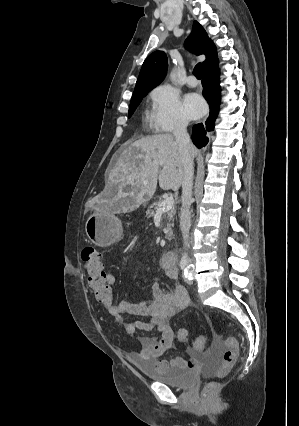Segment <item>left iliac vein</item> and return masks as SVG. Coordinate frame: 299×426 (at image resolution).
<instances>
[{"mask_svg":"<svg viewBox=\"0 0 299 426\" xmlns=\"http://www.w3.org/2000/svg\"><path fill=\"white\" fill-rule=\"evenodd\" d=\"M185 270L189 271L190 270V266H187V268ZM184 279H185V282L188 283V284H192L193 283L192 279H189L188 277H185Z\"/></svg>","mask_w":299,"mask_h":426,"instance_id":"left-iliac-vein-1","label":"left iliac vein"}]
</instances>
